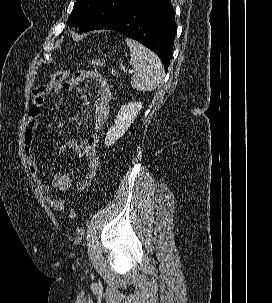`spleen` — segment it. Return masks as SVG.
<instances>
[{
    "mask_svg": "<svg viewBox=\"0 0 272 303\" xmlns=\"http://www.w3.org/2000/svg\"><path fill=\"white\" fill-rule=\"evenodd\" d=\"M126 44L130 49V65L134 68L131 86L140 91H153L163 81L164 67L158 56L138 43L126 38Z\"/></svg>",
    "mask_w": 272,
    "mask_h": 303,
    "instance_id": "1",
    "label": "spleen"
}]
</instances>
